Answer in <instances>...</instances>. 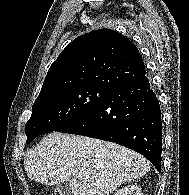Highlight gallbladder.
<instances>
[{
	"label": "gallbladder",
	"instance_id": "gallbladder-1",
	"mask_svg": "<svg viewBox=\"0 0 189 195\" xmlns=\"http://www.w3.org/2000/svg\"><path fill=\"white\" fill-rule=\"evenodd\" d=\"M56 191L60 195H72L70 184L67 182H60L56 185Z\"/></svg>",
	"mask_w": 189,
	"mask_h": 195
}]
</instances>
